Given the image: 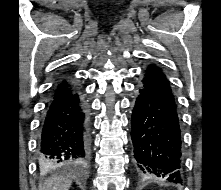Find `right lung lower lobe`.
<instances>
[{"mask_svg": "<svg viewBox=\"0 0 221 190\" xmlns=\"http://www.w3.org/2000/svg\"><path fill=\"white\" fill-rule=\"evenodd\" d=\"M39 157L50 166L84 165L89 156L87 108L80 89L67 79L57 82L40 124Z\"/></svg>", "mask_w": 221, "mask_h": 190, "instance_id": "right-lung-lower-lobe-1", "label": "right lung lower lobe"}]
</instances>
